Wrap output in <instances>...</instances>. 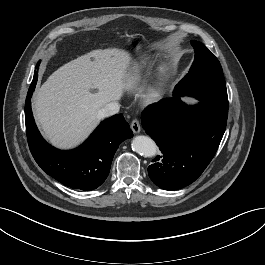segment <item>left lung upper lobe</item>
<instances>
[{
    "mask_svg": "<svg viewBox=\"0 0 265 265\" xmlns=\"http://www.w3.org/2000/svg\"><path fill=\"white\" fill-rule=\"evenodd\" d=\"M195 59L189 73L175 90L180 95H190L223 114H228V96L222 67L217 58L198 42L192 41Z\"/></svg>",
    "mask_w": 265,
    "mask_h": 265,
    "instance_id": "5c2ea615",
    "label": "left lung upper lobe"
}]
</instances>
